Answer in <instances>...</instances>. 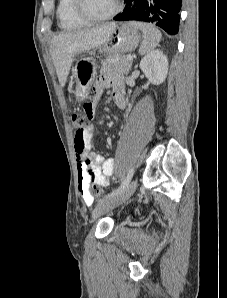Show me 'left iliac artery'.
<instances>
[{
	"mask_svg": "<svg viewBox=\"0 0 227 298\" xmlns=\"http://www.w3.org/2000/svg\"><path fill=\"white\" fill-rule=\"evenodd\" d=\"M133 174H134V169H130L128 174H127V177L122 182V184L116 190H114L111 193H109L108 195H106L105 198L112 197V196L122 192L128 186L129 182L131 181V178H132Z\"/></svg>",
	"mask_w": 227,
	"mask_h": 298,
	"instance_id": "left-iliac-artery-1",
	"label": "left iliac artery"
}]
</instances>
